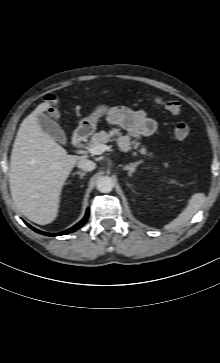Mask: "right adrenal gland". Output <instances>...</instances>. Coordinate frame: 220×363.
Listing matches in <instances>:
<instances>
[{"instance_id": "1", "label": "right adrenal gland", "mask_w": 220, "mask_h": 363, "mask_svg": "<svg viewBox=\"0 0 220 363\" xmlns=\"http://www.w3.org/2000/svg\"><path fill=\"white\" fill-rule=\"evenodd\" d=\"M73 175H79V176H80V178L82 179V178L86 175V173H85V172L77 171V172H75Z\"/></svg>"}]
</instances>
